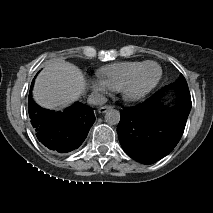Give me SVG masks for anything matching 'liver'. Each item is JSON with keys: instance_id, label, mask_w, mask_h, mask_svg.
<instances>
[{"instance_id": "6515ba94", "label": "liver", "mask_w": 213, "mask_h": 213, "mask_svg": "<svg viewBox=\"0 0 213 213\" xmlns=\"http://www.w3.org/2000/svg\"><path fill=\"white\" fill-rule=\"evenodd\" d=\"M85 89L80 69L66 61H53L35 79L33 98L43 108L61 110L77 101Z\"/></svg>"}]
</instances>
